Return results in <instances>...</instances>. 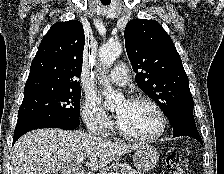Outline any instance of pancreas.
Instances as JSON below:
<instances>
[{"label":"pancreas","mask_w":224,"mask_h":174,"mask_svg":"<svg viewBox=\"0 0 224 174\" xmlns=\"http://www.w3.org/2000/svg\"><path fill=\"white\" fill-rule=\"evenodd\" d=\"M100 174H142L131 168L129 165L112 164L110 167L103 169Z\"/></svg>","instance_id":"cf45deb5"}]
</instances>
